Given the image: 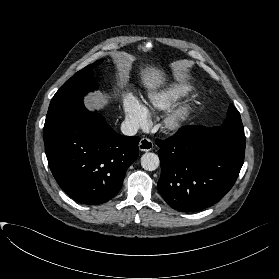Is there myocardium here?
<instances>
[{"label": "myocardium", "instance_id": "myocardium-1", "mask_svg": "<svg viewBox=\"0 0 279 279\" xmlns=\"http://www.w3.org/2000/svg\"><path fill=\"white\" fill-rule=\"evenodd\" d=\"M192 112V103L186 101L171 109L164 119V127L170 132H177L189 120Z\"/></svg>", "mask_w": 279, "mask_h": 279}]
</instances>
